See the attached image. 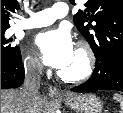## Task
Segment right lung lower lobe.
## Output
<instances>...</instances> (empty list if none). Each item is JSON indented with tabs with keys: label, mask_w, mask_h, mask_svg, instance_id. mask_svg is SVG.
Segmentation results:
<instances>
[{
	"label": "right lung lower lobe",
	"mask_w": 123,
	"mask_h": 113,
	"mask_svg": "<svg viewBox=\"0 0 123 113\" xmlns=\"http://www.w3.org/2000/svg\"><path fill=\"white\" fill-rule=\"evenodd\" d=\"M25 78L21 58L16 61L1 59V89L17 88Z\"/></svg>",
	"instance_id": "1"
}]
</instances>
